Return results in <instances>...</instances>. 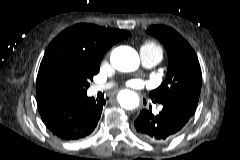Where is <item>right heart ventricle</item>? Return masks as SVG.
I'll return each instance as SVG.
<instances>
[{"mask_svg": "<svg viewBox=\"0 0 240 160\" xmlns=\"http://www.w3.org/2000/svg\"><path fill=\"white\" fill-rule=\"evenodd\" d=\"M142 47H145V48H148V49H153V50H156V51H159L162 53V49L161 47L155 43L154 41H146Z\"/></svg>", "mask_w": 240, "mask_h": 160, "instance_id": "right-heart-ventricle-1", "label": "right heart ventricle"}]
</instances>
